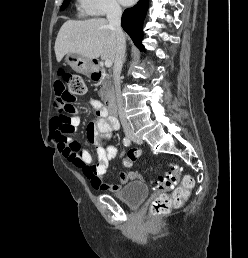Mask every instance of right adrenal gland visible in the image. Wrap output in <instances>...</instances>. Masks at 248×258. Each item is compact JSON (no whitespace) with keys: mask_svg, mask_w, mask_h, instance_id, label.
Listing matches in <instances>:
<instances>
[{"mask_svg":"<svg viewBox=\"0 0 248 258\" xmlns=\"http://www.w3.org/2000/svg\"><path fill=\"white\" fill-rule=\"evenodd\" d=\"M125 60H126V56L124 57V61L123 62H125Z\"/></svg>","mask_w":248,"mask_h":258,"instance_id":"obj_1","label":"right adrenal gland"}]
</instances>
